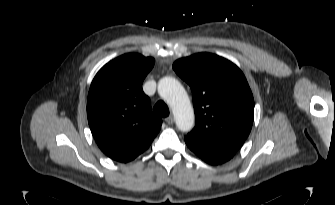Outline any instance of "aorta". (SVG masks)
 Instances as JSON below:
<instances>
[{
	"label": "aorta",
	"instance_id": "1",
	"mask_svg": "<svg viewBox=\"0 0 335 205\" xmlns=\"http://www.w3.org/2000/svg\"><path fill=\"white\" fill-rule=\"evenodd\" d=\"M159 95L170 105L177 128L182 132L194 126V111L183 86L172 77H164L158 82Z\"/></svg>",
	"mask_w": 335,
	"mask_h": 205
}]
</instances>
